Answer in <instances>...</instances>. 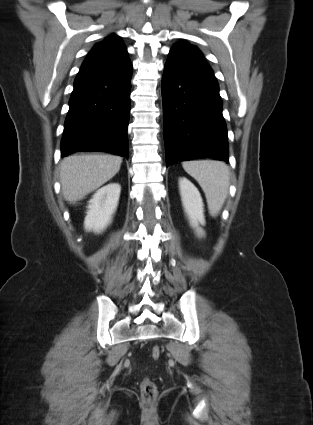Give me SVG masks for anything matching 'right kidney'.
I'll use <instances>...</instances> for the list:
<instances>
[{
  "label": "right kidney",
  "instance_id": "obj_1",
  "mask_svg": "<svg viewBox=\"0 0 313 425\" xmlns=\"http://www.w3.org/2000/svg\"><path fill=\"white\" fill-rule=\"evenodd\" d=\"M121 186L118 183H110L99 189L89 201L87 215L84 220V228L95 233L102 232L112 220L115 213Z\"/></svg>",
  "mask_w": 313,
  "mask_h": 425
}]
</instances>
